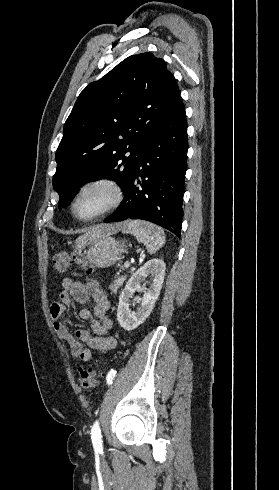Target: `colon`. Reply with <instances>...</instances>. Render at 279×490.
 Wrapping results in <instances>:
<instances>
[{
  "label": "colon",
  "mask_w": 279,
  "mask_h": 490,
  "mask_svg": "<svg viewBox=\"0 0 279 490\" xmlns=\"http://www.w3.org/2000/svg\"><path fill=\"white\" fill-rule=\"evenodd\" d=\"M71 265L77 266L85 271L91 270L92 268L85 258L76 253L62 251L54 255L53 267L58 272L64 273ZM100 373L101 371L97 362H95L93 366L82 369L79 378L80 387L87 391L92 390L96 386Z\"/></svg>",
  "instance_id": "1"
}]
</instances>
